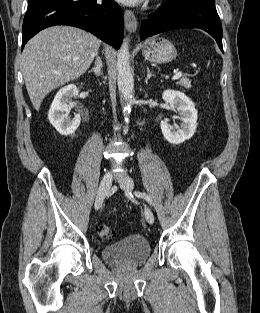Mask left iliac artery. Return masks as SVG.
<instances>
[{
  "label": "left iliac artery",
  "instance_id": "left-iliac-artery-1",
  "mask_svg": "<svg viewBox=\"0 0 260 313\" xmlns=\"http://www.w3.org/2000/svg\"><path fill=\"white\" fill-rule=\"evenodd\" d=\"M135 195L141 198H144L150 205H152V199L150 196L144 192H135Z\"/></svg>",
  "mask_w": 260,
  "mask_h": 313
}]
</instances>
